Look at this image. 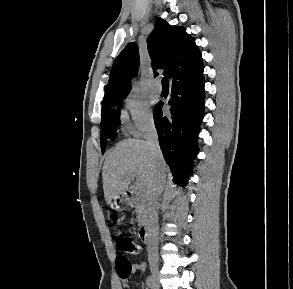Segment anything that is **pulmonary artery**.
<instances>
[{
    "instance_id": "obj_1",
    "label": "pulmonary artery",
    "mask_w": 293,
    "mask_h": 289,
    "mask_svg": "<svg viewBox=\"0 0 293 289\" xmlns=\"http://www.w3.org/2000/svg\"><path fill=\"white\" fill-rule=\"evenodd\" d=\"M152 88L155 92L160 93L162 91V84L160 80L155 79L152 83Z\"/></svg>"
}]
</instances>
